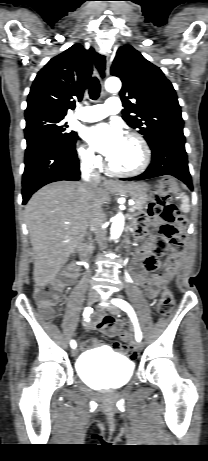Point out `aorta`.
I'll use <instances>...</instances> for the list:
<instances>
[{
	"instance_id": "aorta-1",
	"label": "aorta",
	"mask_w": 208,
	"mask_h": 461,
	"mask_svg": "<svg viewBox=\"0 0 208 461\" xmlns=\"http://www.w3.org/2000/svg\"><path fill=\"white\" fill-rule=\"evenodd\" d=\"M105 89L110 93H117L121 89V81L116 77H110L105 82ZM124 215L119 212L112 219L110 234L112 239H118L124 228Z\"/></svg>"
}]
</instances>
